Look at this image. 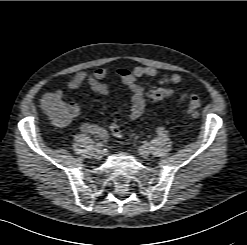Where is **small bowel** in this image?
I'll list each match as a JSON object with an SVG mask.
<instances>
[{"label": "small bowel", "instance_id": "c3829d8e", "mask_svg": "<svg viewBox=\"0 0 247 245\" xmlns=\"http://www.w3.org/2000/svg\"><path fill=\"white\" fill-rule=\"evenodd\" d=\"M112 72L108 67H99L93 71H81L73 75L67 82L70 89H77L83 84H87L90 89L102 96H107L111 92V86L104 82V79ZM116 74L120 77L121 83L129 94L130 110L128 117L130 120H137L144 117L146 109L145 100V86L139 82L143 77L155 78L159 76V70L152 66H137L133 69L124 67L117 68ZM184 82V77L181 74L173 73L167 76H161L157 79V84H181ZM189 97L188 92H184L178 98V104L184 103ZM50 99L64 100L62 90H55L46 93L42 100L41 105L44 108ZM69 108V121L79 116L81 109L77 103L67 102ZM67 122V123H68ZM80 131L83 134L94 135L102 141H107L109 134L107 130L97 124L84 123L80 126Z\"/></svg>", "mask_w": 247, "mask_h": 245}]
</instances>
